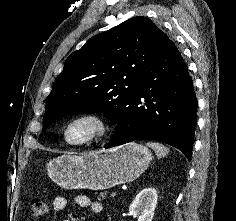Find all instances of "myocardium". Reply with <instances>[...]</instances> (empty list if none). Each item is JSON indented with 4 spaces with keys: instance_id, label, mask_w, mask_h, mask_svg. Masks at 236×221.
<instances>
[{
    "instance_id": "f54148a6",
    "label": "myocardium",
    "mask_w": 236,
    "mask_h": 221,
    "mask_svg": "<svg viewBox=\"0 0 236 221\" xmlns=\"http://www.w3.org/2000/svg\"><path fill=\"white\" fill-rule=\"evenodd\" d=\"M81 122H89L93 125V131L91 134L79 141H71L68 138L69 129ZM111 131L110 121L100 113L97 112H85L70 118L62 127L61 135L64 142L71 147H82L94 142H97L105 138Z\"/></svg>"
}]
</instances>
